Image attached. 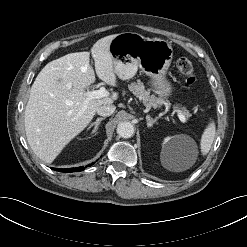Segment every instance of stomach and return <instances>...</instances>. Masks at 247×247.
Wrapping results in <instances>:
<instances>
[{"label":"stomach","mask_w":247,"mask_h":247,"mask_svg":"<svg viewBox=\"0 0 247 247\" xmlns=\"http://www.w3.org/2000/svg\"><path fill=\"white\" fill-rule=\"evenodd\" d=\"M109 50L114 72L120 79H131L140 68L152 79L153 90L160 98H168L172 94L173 87L166 79L173 58V48L168 41L123 32L114 37Z\"/></svg>","instance_id":"1"}]
</instances>
